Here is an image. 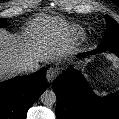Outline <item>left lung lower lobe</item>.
Segmentation results:
<instances>
[{"instance_id":"left-lung-lower-lobe-1","label":"left lung lower lobe","mask_w":119,"mask_h":119,"mask_svg":"<svg viewBox=\"0 0 119 119\" xmlns=\"http://www.w3.org/2000/svg\"><path fill=\"white\" fill-rule=\"evenodd\" d=\"M110 50L119 57V47L83 53L81 56ZM57 96V119H119V92L107 97L96 96L76 71L66 72L53 83Z\"/></svg>"}]
</instances>
